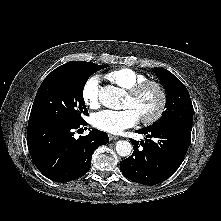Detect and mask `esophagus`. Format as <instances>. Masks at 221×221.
I'll return each mask as SVG.
<instances>
[{"label": "esophagus", "instance_id": "esophagus-1", "mask_svg": "<svg viewBox=\"0 0 221 221\" xmlns=\"http://www.w3.org/2000/svg\"><path fill=\"white\" fill-rule=\"evenodd\" d=\"M118 138H119V137L116 136V135H112V134L109 135V139H110L111 141L117 140Z\"/></svg>", "mask_w": 221, "mask_h": 221}]
</instances>
